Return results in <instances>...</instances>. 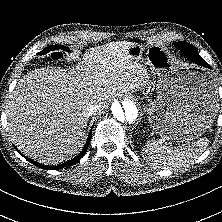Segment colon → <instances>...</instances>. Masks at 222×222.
<instances>
[{"label": "colon", "instance_id": "colon-1", "mask_svg": "<svg viewBox=\"0 0 222 222\" xmlns=\"http://www.w3.org/2000/svg\"><path fill=\"white\" fill-rule=\"evenodd\" d=\"M60 57L58 55H53L51 56V58L49 59L50 61H54V60H58Z\"/></svg>", "mask_w": 222, "mask_h": 222}]
</instances>
